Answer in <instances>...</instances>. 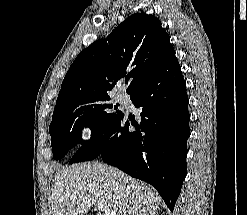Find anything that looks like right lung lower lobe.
<instances>
[{"label":"right lung lower lobe","mask_w":247,"mask_h":215,"mask_svg":"<svg viewBox=\"0 0 247 215\" xmlns=\"http://www.w3.org/2000/svg\"><path fill=\"white\" fill-rule=\"evenodd\" d=\"M129 94L135 107L142 110L141 120L129 121L122 113L103 133L83 142L70 163L100 156L107 164L155 187L173 211L186 176L190 135L189 100L174 49Z\"/></svg>","instance_id":"1"}]
</instances>
